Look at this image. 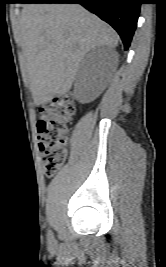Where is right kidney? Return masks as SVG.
<instances>
[{"label": "right kidney", "instance_id": "1", "mask_svg": "<svg viewBox=\"0 0 166 267\" xmlns=\"http://www.w3.org/2000/svg\"><path fill=\"white\" fill-rule=\"evenodd\" d=\"M106 68L105 49L102 47L93 48L86 55L76 80V97L79 102L89 103L100 95Z\"/></svg>", "mask_w": 166, "mask_h": 267}]
</instances>
